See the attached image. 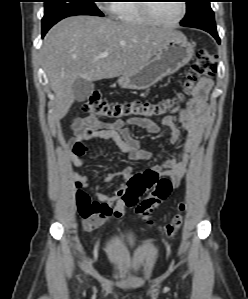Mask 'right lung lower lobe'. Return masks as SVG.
Here are the masks:
<instances>
[{
  "instance_id": "98d812e1",
  "label": "right lung lower lobe",
  "mask_w": 248,
  "mask_h": 299,
  "mask_svg": "<svg viewBox=\"0 0 248 299\" xmlns=\"http://www.w3.org/2000/svg\"><path fill=\"white\" fill-rule=\"evenodd\" d=\"M46 33V32H45ZM45 33L44 32H42V36H44L45 35Z\"/></svg>"
}]
</instances>
